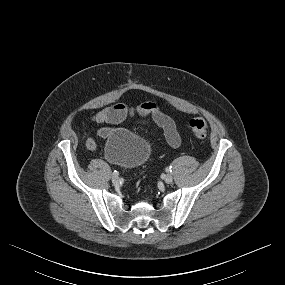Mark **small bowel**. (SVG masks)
<instances>
[{
	"label": "small bowel",
	"mask_w": 285,
	"mask_h": 285,
	"mask_svg": "<svg viewBox=\"0 0 285 285\" xmlns=\"http://www.w3.org/2000/svg\"><path fill=\"white\" fill-rule=\"evenodd\" d=\"M132 117L136 118L135 123L137 125L148 126L152 122L163 131L170 147H179L181 138L173 119L162 107L154 102H144L133 107L125 104L107 107L94 114L91 117V121L95 123L118 124ZM99 135L104 136L105 130L101 129ZM85 147L89 151L95 150V140L87 137L85 139Z\"/></svg>",
	"instance_id": "c3829d8e"
}]
</instances>
